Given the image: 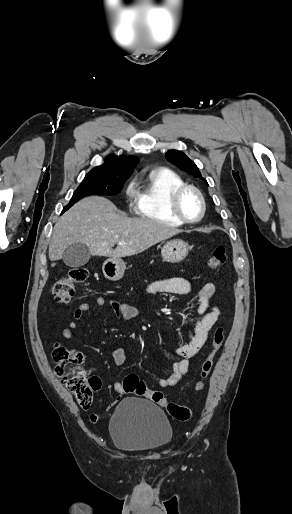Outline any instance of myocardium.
Instances as JSON below:
<instances>
[{
  "label": "myocardium",
  "instance_id": "myocardium-1",
  "mask_svg": "<svg viewBox=\"0 0 292 514\" xmlns=\"http://www.w3.org/2000/svg\"><path fill=\"white\" fill-rule=\"evenodd\" d=\"M192 191L198 198L200 203V213L196 219H188L179 210V197L184 191ZM167 208L169 213L179 222L183 224H194L199 222L205 215L206 204L202 192L194 185L182 183L173 188L167 195Z\"/></svg>",
  "mask_w": 292,
  "mask_h": 514
}]
</instances>
